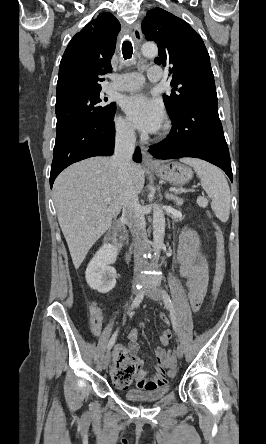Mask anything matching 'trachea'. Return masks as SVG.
Instances as JSON below:
<instances>
[{
	"label": "trachea",
	"mask_w": 266,
	"mask_h": 444,
	"mask_svg": "<svg viewBox=\"0 0 266 444\" xmlns=\"http://www.w3.org/2000/svg\"><path fill=\"white\" fill-rule=\"evenodd\" d=\"M122 54L125 60L131 59L133 54V46L129 40H126L122 44Z\"/></svg>",
	"instance_id": "3493384b"
}]
</instances>
